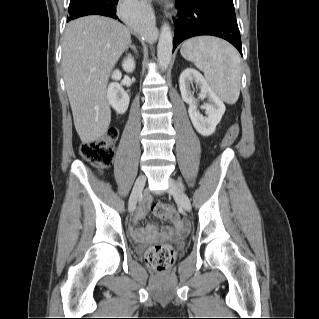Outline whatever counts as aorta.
I'll use <instances>...</instances> for the list:
<instances>
[{"label": "aorta", "instance_id": "obj_1", "mask_svg": "<svg viewBox=\"0 0 319 319\" xmlns=\"http://www.w3.org/2000/svg\"><path fill=\"white\" fill-rule=\"evenodd\" d=\"M139 29L142 33H146L148 26L143 20L139 22ZM172 33L169 24L164 23L161 27V33L159 37L158 47H157V57L158 63L162 71L166 70L170 64L172 56Z\"/></svg>", "mask_w": 319, "mask_h": 319}]
</instances>
